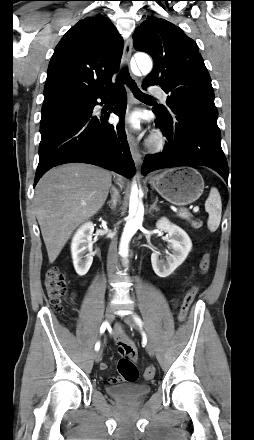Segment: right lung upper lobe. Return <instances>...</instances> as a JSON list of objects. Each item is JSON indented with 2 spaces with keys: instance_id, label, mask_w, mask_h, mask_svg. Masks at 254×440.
<instances>
[{
  "instance_id": "1",
  "label": "right lung upper lobe",
  "mask_w": 254,
  "mask_h": 440,
  "mask_svg": "<svg viewBox=\"0 0 254 440\" xmlns=\"http://www.w3.org/2000/svg\"><path fill=\"white\" fill-rule=\"evenodd\" d=\"M123 39L103 16L77 22L60 40L48 67L45 100L60 94H105L118 70Z\"/></svg>"
}]
</instances>
